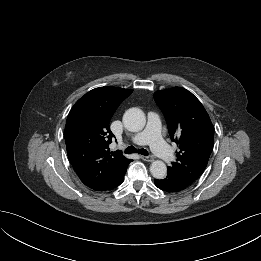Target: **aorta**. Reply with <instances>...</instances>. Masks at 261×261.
Returning <instances> with one entry per match:
<instances>
[{
  "instance_id": "obj_1",
  "label": "aorta",
  "mask_w": 261,
  "mask_h": 261,
  "mask_svg": "<svg viewBox=\"0 0 261 261\" xmlns=\"http://www.w3.org/2000/svg\"><path fill=\"white\" fill-rule=\"evenodd\" d=\"M123 124L131 132L142 130L146 124V116L139 108H130L123 115ZM150 172L156 179H163L167 174L166 164L161 160H155L150 166Z\"/></svg>"
}]
</instances>
